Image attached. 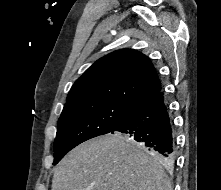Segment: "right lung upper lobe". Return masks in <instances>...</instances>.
Listing matches in <instances>:
<instances>
[{
	"instance_id": "obj_1",
	"label": "right lung upper lobe",
	"mask_w": 221,
	"mask_h": 190,
	"mask_svg": "<svg viewBox=\"0 0 221 190\" xmlns=\"http://www.w3.org/2000/svg\"><path fill=\"white\" fill-rule=\"evenodd\" d=\"M162 90L147 56L121 49L97 60L70 89L64 107L98 101H115L135 107Z\"/></svg>"
}]
</instances>
